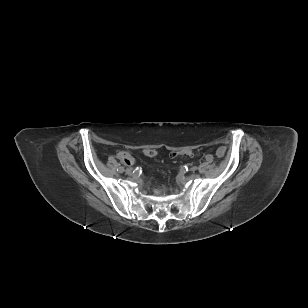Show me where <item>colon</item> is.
Here are the masks:
<instances>
[{
    "label": "colon",
    "instance_id": "5ec220e1",
    "mask_svg": "<svg viewBox=\"0 0 308 308\" xmlns=\"http://www.w3.org/2000/svg\"><path fill=\"white\" fill-rule=\"evenodd\" d=\"M143 153L149 157H153L157 154V152L154 149H145L143 150ZM183 154L193 155V152H184ZM176 155H177L176 153L172 154L173 157ZM117 157L126 164H130L132 162V157L128 152L120 151L117 153Z\"/></svg>",
    "mask_w": 308,
    "mask_h": 308
}]
</instances>
